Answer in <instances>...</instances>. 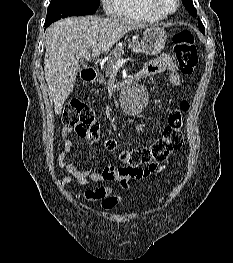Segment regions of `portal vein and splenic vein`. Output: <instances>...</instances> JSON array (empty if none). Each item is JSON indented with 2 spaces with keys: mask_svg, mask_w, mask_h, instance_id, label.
Returning <instances> with one entry per match:
<instances>
[{
  "mask_svg": "<svg viewBox=\"0 0 233 263\" xmlns=\"http://www.w3.org/2000/svg\"><path fill=\"white\" fill-rule=\"evenodd\" d=\"M96 45H97V42H92V43H91V47H92V48H94ZM134 51L137 52V53H140V52H141L140 48H136V49H134ZM123 63H124V59H119V60L113 65V68H114V69H117V68H119Z\"/></svg>",
  "mask_w": 233,
  "mask_h": 263,
  "instance_id": "1",
  "label": "portal vein and splenic vein"
}]
</instances>
